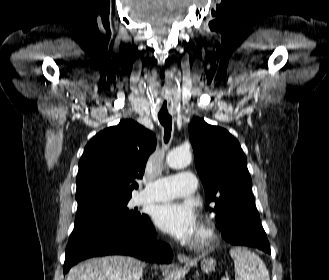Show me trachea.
I'll use <instances>...</instances> for the list:
<instances>
[{
  "mask_svg": "<svg viewBox=\"0 0 329 280\" xmlns=\"http://www.w3.org/2000/svg\"><path fill=\"white\" fill-rule=\"evenodd\" d=\"M158 119L161 125L164 127V141L167 143L171 136L172 130V117L166 113H159Z\"/></svg>",
  "mask_w": 329,
  "mask_h": 280,
  "instance_id": "obj_1",
  "label": "trachea"
}]
</instances>
